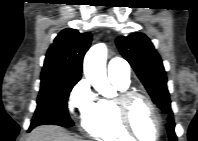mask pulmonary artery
Listing matches in <instances>:
<instances>
[{
  "instance_id": "e3ab8cb5",
  "label": "pulmonary artery",
  "mask_w": 198,
  "mask_h": 141,
  "mask_svg": "<svg viewBox=\"0 0 198 141\" xmlns=\"http://www.w3.org/2000/svg\"><path fill=\"white\" fill-rule=\"evenodd\" d=\"M108 76L111 81L129 83V69L125 61L113 58L108 64Z\"/></svg>"
}]
</instances>
